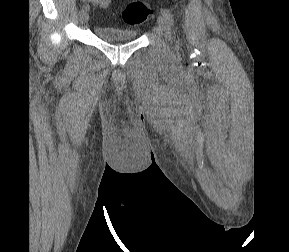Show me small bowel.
I'll use <instances>...</instances> for the list:
<instances>
[{"label":"small bowel","instance_id":"obj_1","mask_svg":"<svg viewBox=\"0 0 289 252\" xmlns=\"http://www.w3.org/2000/svg\"><path fill=\"white\" fill-rule=\"evenodd\" d=\"M86 3H92L94 5H98L101 8H108L114 0H83Z\"/></svg>","mask_w":289,"mask_h":252}]
</instances>
